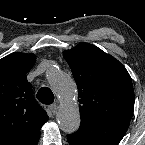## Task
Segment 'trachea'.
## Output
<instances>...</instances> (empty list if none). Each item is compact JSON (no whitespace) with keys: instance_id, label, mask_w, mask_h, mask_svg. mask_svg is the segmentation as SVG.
Segmentation results:
<instances>
[{"instance_id":"3493384b","label":"trachea","mask_w":145,"mask_h":145,"mask_svg":"<svg viewBox=\"0 0 145 145\" xmlns=\"http://www.w3.org/2000/svg\"><path fill=\"white\" fill-rule=\"evenodd\" d=\"M37 99L43 104H52L54 102V94L48 87L39 89L36 95Z\"/></svg>"}]
</instances>
